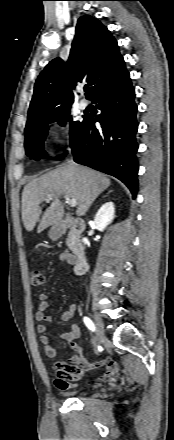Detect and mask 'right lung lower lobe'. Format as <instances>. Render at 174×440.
Here are the masks:
<instances>
[{
	"instance_id": "1",
	"label": "right lung lower lobe",
	"mask_w": 174,
	"mask_h": 440,
	"mask_svg": "<svg viewBox=\"0 0 174 440\" xmlns=\"http://www.w3.org/2000/svg\"><path fill=\"white\" fill-rule=\"evenodd\" d=\"M89 98L97 103L101 114L84 116L79 134L70 143L74 161L120 179L135 198L137 105L124 61L100 82ZM95 122L101 127H95Z\"/></svg>"
}]
</instances>
